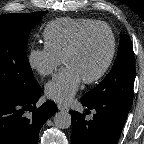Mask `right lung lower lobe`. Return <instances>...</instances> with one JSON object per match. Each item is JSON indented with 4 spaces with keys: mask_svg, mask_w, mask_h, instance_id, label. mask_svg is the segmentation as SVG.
<instances>
[{
    "mask_svg": "<svg viewBox=\"0 0 144 144\" xmlns=\"http://www.w3.org/2000/svg\"><path fill=\"white\" fill-rule=\"evenodd\" d=\"M40 95V86L25 94L0 95V144H38L41 127L56 112L52 101L36 107Z\"/></svg>",
    "mask_w": 144,
    "mask_h": 144,
    "instance_id": "98d812e1",
    "label": "right lung lower lobe"
}]
</instances>
